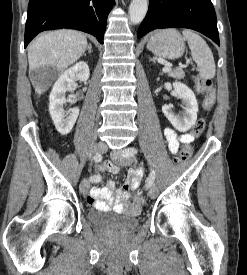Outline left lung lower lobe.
<instances>
[{"label": "left lung lower lobe", "mask_w": 247, "mask_h": 275, "mask_svg": "<svg viewBox=\"0 0 247 275\" xmlns=\"http://www.w3.org/2000/svg\"><path fill=\"white\" fill-rule=\"evenodd\" d=\"M189 28L219 45L217 19L211 0H150L137 37L161 28Z\"/></svg>", "instance_id": "0a47b994"}]
</instances>
